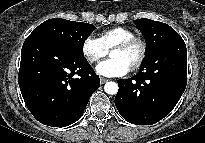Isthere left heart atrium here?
<instances>
[{
    "instance_id": "left-heart-atrium-1",
    "label": "left heart atrium",
    "mask_w": 205,
    "mask_h": 143,
    "mask_svg": "<svg viewBox=\"0 0 205 143\" xmlns=\"http://www.w3.org/2000/svg\"><path fill=\"white\" fill-rule=\"evenodd\" d=\"M129 69L124 62L116 58H109L96 67V71L106 77H122L129 72Z\"/></svg>"
}]
</instances>
